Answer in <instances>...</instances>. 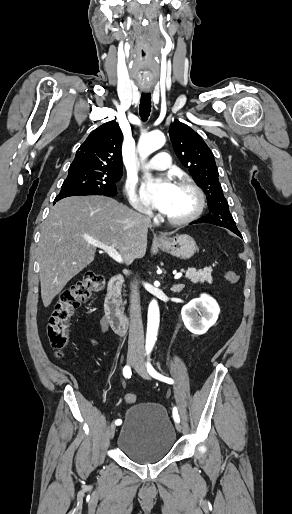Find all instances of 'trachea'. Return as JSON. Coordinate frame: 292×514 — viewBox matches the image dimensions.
<instances>
[{"label": "trachea", "mask_w": 292, "mask_h": 514, "mask_svg": "<svg viewBox=\"0 0 292 514\" xmlns=\"http://www.w3.org/2000/svg\"><path fill=\"white\" fill-rule=\"evenodd\" d=\"M151 94L150 93H142L139 105L140 117L143 122L148 120V117L151 112Z\"/></svg>", "instance_id": "1"}]
</instances>
